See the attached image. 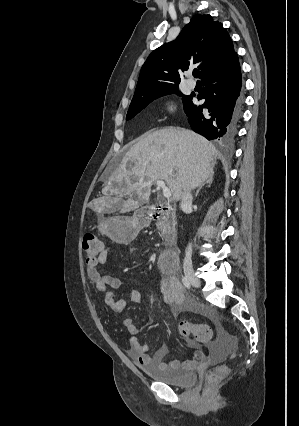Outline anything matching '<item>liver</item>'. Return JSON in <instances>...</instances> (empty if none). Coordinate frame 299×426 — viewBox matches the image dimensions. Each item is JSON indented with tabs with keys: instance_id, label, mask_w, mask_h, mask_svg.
<instances>
[{
	"instance_id": "6515ba94",
	"label": "liver",
	"mask_w": 299,
	"mask_h": 426,
	"mask_svg": "<svg viewBox=\"0 0 299 426\" xmlns=\"http://www.w3.org/2000/svg\"><path fill=\"white\" fill-rule=\"evenodd\" d=\"M217 156L214 145L193 131H154L127 151L102 190L105 197L99 201L111 210L133 211L149 201L157 180H164L172 199L179 201L184 190L194 189L213 176ZM123 196L128 199L123 200Z\"/></svg>"
}]
</instances>
